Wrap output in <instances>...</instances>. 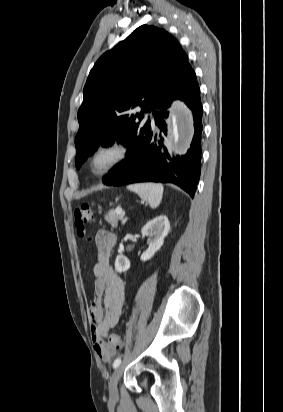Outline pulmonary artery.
I'll return each mask as SVG.
<instances>
[{
    "label": "pulmonary artery",
    "mask_w": 283,
    "mask_h": 412,
    "mask_svg": "<svg viewBox=\"0 0 283 412\" xmlns=\"http://www.w3.org/2000/svg\"><path fill=\"white\" fill-rule=\"evenodd\" d=\"M145 118H150V119H153V117H152V114H151V113L147 114V115L145 116Z\"/></svg>",
    "instance_id": "e3ab8cb5"
}]
</instances>
